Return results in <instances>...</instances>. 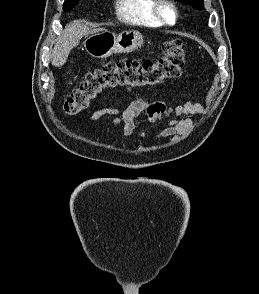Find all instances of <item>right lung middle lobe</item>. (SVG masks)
<instances>
[{"mask_svg": "<svg viewBox=\"0 0 259 294\" xmlns=\"http://www.w3.org/2000/svg\"><path fill=\"white\" fill-rule=\"evenodd\" d=\"M78 3H79V0H65L64 5H63V10L70 11Z\"/></svg>", "mask_w": 259, "mask_h": 294, "instance_id": "obj_1", "label": "right lung middle lobe"}]
</instances>
